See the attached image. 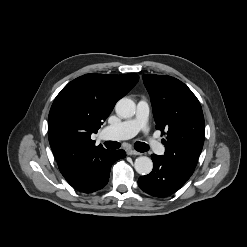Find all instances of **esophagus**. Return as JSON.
Returning a JSON list of instances; mask_svg holds the SVG:
<instances>
[{"mask_svg":"<svg viewBox=\"0 0 247 247\" xmlns=\"http://www.w3.org/2000/svg\"><path fill=\"white\" fill-rule=\"evenodd\" d=\"M127 154L128 155H141L140 152L136 151V150H133V149H128L127 150Z\"/></svg>","mask_w":247,"mask_h":247,"instance_id":"1","label":"esophagus"}]
</instances>
